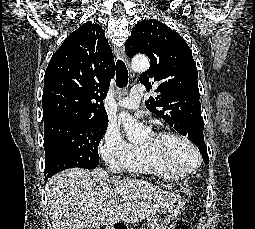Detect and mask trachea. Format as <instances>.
<instances>
[{"label": "trachea", "mask_w": 255, "mask_h": 229, "mask_svg": "<svg viewBox=\"0 0 255 229\" xmlns=\"http://www.w3.org/2000/svg\"><path fill=\"white\" fill-rule=\"evenodd\" d=\"M128 84V70L122 60L116 62V85L125 87Z\"/></svg>", "instance_id": "1"}]
</instances>
